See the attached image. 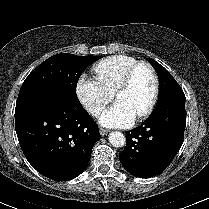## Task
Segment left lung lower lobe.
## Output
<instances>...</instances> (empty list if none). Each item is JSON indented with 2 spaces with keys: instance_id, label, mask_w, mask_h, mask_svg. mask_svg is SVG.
<instances>
[{
  "instance_id": "left-lung-lower-lobe-1",
  "label": "left lung lower lobe",
  "mask_w": 209,
  "mask_h": 209,
  "mask_svg": "<svg viewBox=\"0 0 209 209\" xmlns=\"http://www.w3.org/2000/svg\"><path fill=\"white\" fill-rule=\"evenodd\" d=\"M185 127V99L157 105L149 119L126 132V147L119 154L121 164L140 178L162 173L179 151Z\"/></svg>"
}]
</instances>
